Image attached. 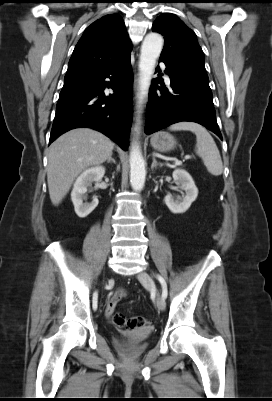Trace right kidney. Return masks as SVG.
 I'll return each mask as SVG.
<instances>
[{"label":"right kidney","mask_w":272,"mask_h":401,"mask_svg":"<svg viewBox=\"0 0 272 401\" xmlns=\"http://www.w3.org/2000/svg\"><path fill=\"white\" fill-rule=\"evenodd\" d=\"M104 174L105 168L103 166H96L85 170L76 179L71 192V200L78 217L85 218L97 207L99 201L96 196L93 197L91 203H83V200L85 199L87 188L91 187L93 182H96L95 188H97L98 182H100Z\"/></svg>","instance_id":"right-kidney-1"}]
</instances>
